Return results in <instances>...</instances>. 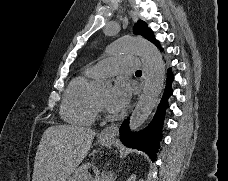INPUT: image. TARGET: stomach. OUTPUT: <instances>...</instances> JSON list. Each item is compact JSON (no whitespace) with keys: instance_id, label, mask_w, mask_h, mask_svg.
Wrapping results in <instances>:
<instances>
[{"instance_id":"0dacf381","label":"stomach","mask_w":228,"mask_h":181,"mask_svg":"<svg viewBox=\"0 0 228 181\" xmlns=\"http://www.w3.org/2000/svg\"><path fill=\"white\" fill-rule=\"evenodd\" d=\"M99 139H100L101 145H105V147H110L115 137H110V135H107V137H101V135H99Z\"/></svg>"}]
</instances>
